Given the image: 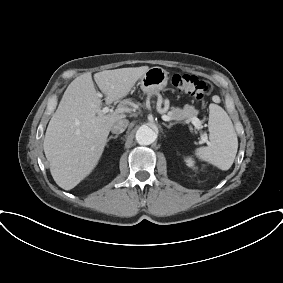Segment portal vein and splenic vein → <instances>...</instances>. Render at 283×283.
I'll return each mask as SVG.
<instances>
[{
  "label": "portal vein and splenic vein",
  "mask_w": 283,
  "mask_h": 283,
  "mask_svg": "<svg viewBox=\"0 0 283 283\" xmlns=\"http://www.w3.org/2000/svg\"><path fill=\"white\" fill-rule=\"evenodd\" d=\"M98 95H99V97H102V94H101V93H99ZM109 111H110V108L107 107V106H105V107L102 109V112H103V113H108ZM162 119H163L164 121H170V120H172V118H171L170 116L166 115V114L162 115ZM190 122L195 126V128H197V129H200V128H201V121H200L197 117H193V118L190 120ZM202 140H203V142H208V141H207V137H206L205 135L202 136Z\"/></svg>",
  "instance_id": "obj_1"
}]
</instances>
